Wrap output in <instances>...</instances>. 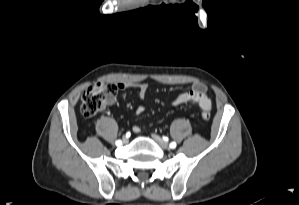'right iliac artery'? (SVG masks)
I'll return each mask as SVG.
<instances>
[{
	"label": "right iliac artery",
	"mask_w": 299,
	"mask_h": 205,
	"mask_svg": "<svg viewBox=\"0 0 299 205\" xmlns=\"http://www.w3.org/2000/svg\"><path fill=\"white\" fill-rule=\"evenodd\" d=\"M116 145H117V146L121 145V140H117V141H116Z\"/></svg>",
	"instance_id": "82829eb1"
}]
</instances>
